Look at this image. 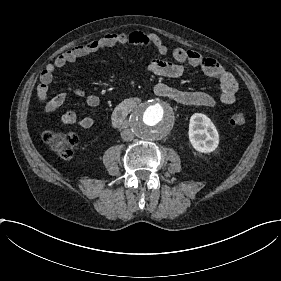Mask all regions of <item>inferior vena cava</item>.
<instances>
[{
    "mask_svg": "<svg viewBox=\"0 0 281 281\" xmlns=\"http://www.w3.org/2000/svg\"><path fill=\"white\" fill-rule=\"evenodd\" d=\"M121 137L125 141H132L134 139V133L130 129H125L121 132Z\"/></svg>",
    "mask_w": 281,
    "mask_h": 281,
    "instance_id": "obj_1",
    "label": "inferior vena cava"
}]
</instances>
